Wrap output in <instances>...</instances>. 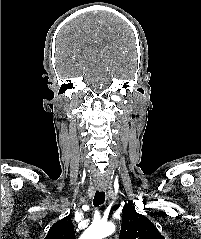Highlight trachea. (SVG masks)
I'll return each mask as SVG.
<instances>
[{"label":"trachea","mask_w":201,"mask_h":239,"mask_svg":"<svg viewBox=\"0 0 201 239\" xmlns=\"http://www.w3.org/2000/svg\"><path fill=\"white\" fill-rule=\"evenodd\" d=\"M104 202H105V192L96 191L95 196H94V200H93L94 206L98 207L101 204H103Z\"/></svg>","instance_id":"obj_1"}]
</instances>
